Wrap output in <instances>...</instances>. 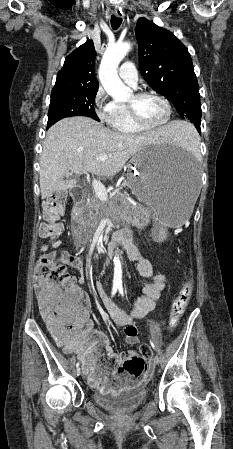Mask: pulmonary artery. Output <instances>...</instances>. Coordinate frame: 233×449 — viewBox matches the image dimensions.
Instances as JSON below:
<instances>
[{"mask_svg":"<svg viewBox=\"0 0 233 449\" xmlns=\"http://www.w3.org/2000/svg\"><path fill=\"white\" fill-rule=\"evenodd\" d=\"M119 76L126 84L136 87L138 82V73L132 62H124L119 70Z\"/></svg>","mask_w":233,"mask_h":449,"instance_id":"pulmonary-artery-1","label":"pulmonary artery"}]
</instances>
